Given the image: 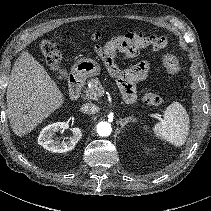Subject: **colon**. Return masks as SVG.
<instances>
[{
    "mask_svg": "<svg viewBox=\"0 0 211 211\" xmlns=\"http://www.w3.org/2000/svg\"><path fill=\"white\" fill-rule=\"evenodd\" d=\"M112 41L108 46H95L97 56L108 69H112L116 65L115 56L117 52L127 56H134L139 54L140 50L147 45H151L155 50H164L168 46V41L164 37L147 36L136 32L131 35H119ZM40 50L49 67L57 70L62 58L59 46L52 41L44 40L40 44ZM162 59L169 74L173 75L178 72V63L173 56L165 54ZM143 99L150 106H159L162 103V97L156 92H147Z\"/></svg>",
    "mask_w": 211,
    "mask_h": 211,
    "instance_id": "obj_1",
    "label": "colon"
}]
</instances>
